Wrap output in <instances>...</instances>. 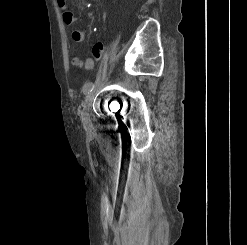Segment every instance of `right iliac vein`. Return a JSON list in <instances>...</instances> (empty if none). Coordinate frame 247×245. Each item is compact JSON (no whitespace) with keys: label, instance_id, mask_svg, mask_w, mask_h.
<instances>
[{"label":"right iliac vein","instance_id":"1","mask_svg":"<svg viewBox=\"0 0 247 245\" xmlns=\"http://www.w3.org/2000/svg\"><path fill=\"white\" fill-rule=\"evenodd\" d=\"M96 92H97V86L94 87L93 90L90 91L85 98V103H84L82 114H81L82 122L85 127H89L91 125V120L89 117V108L96 95Z\"/></svg>","mask_w":247,"mask_h":245}]
</instances>
